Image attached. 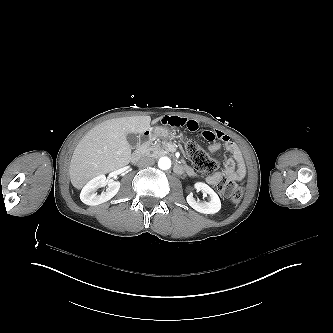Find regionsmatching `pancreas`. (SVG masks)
Wrapping results in <instances>:
<instances>
[{"mask_svg": "<svg viewBox=\"0 0 333 333\" xmlns=\"http://www.w3.org/2000/svg\"><path fill=\"white\" fill-rule=\"evenodd\" d=\"M166 144H167L166 141L151 143L145 149H142L140 151L144 156H151L154 158H158L169 154V150Z\"/></svg>", "mask_w": 333, "mask_h": 333, "instance_id": "obj_1", "label": "pancreas"}]
</instances>
